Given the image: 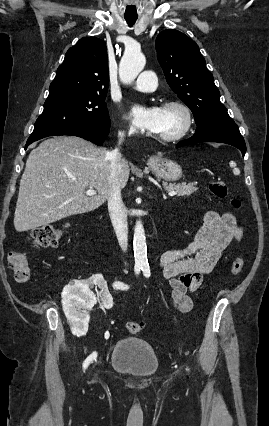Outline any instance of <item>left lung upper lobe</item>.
I'll use <instances>...</instances> for the list:
<instances>
[{
    "label": "left lung upper lobe",
    "mask_w": 269,
    "mask_h": 426,
    "mask_svg": "<svg viewBox=\"0 0 269 426\" xmlns=\"http://www.w3.org/2000/svg\"><path fill=\"white\" fill-rule=\"evenodd\" d=\"M155 47L167 83L191 109L197 126L230 117L193 40L180 31L167 29L157 36Z\"/></svg>",
    "instance_id": "left-lung-upper-lobe-1"
}]
</instances>
